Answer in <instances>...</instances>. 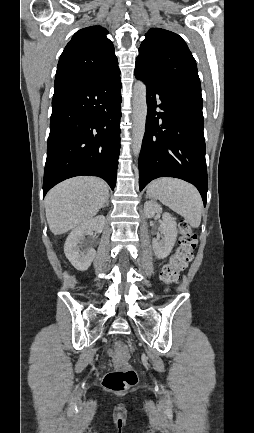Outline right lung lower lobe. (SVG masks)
<instances>
[{
	"label": "right lung lower lobe",
	"mask_w": 254,
	"mask_h": 433,
	"mask_svg": "<svg viewBox=\"0 0 254 433\" xmlns=\"http://www.w3.org/2000/svg\"><path fill=\"white\" fill-rule=\"evenodd\" d=\"M120 71L55 85L43 195L74 176L103 178L114 190L120 149Z\"/></svg>",
	"instance_id": "right-lung-lower-lobe-1"
}]
</instances>
